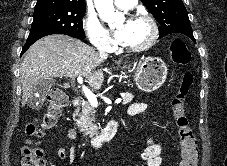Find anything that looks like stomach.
<instances>
[{
    "mask_svg": "<svg viewBox=\"0 0 227 166\" xmlns=\"http://www.w3.org/2000/svg\"><path fill=\"white\" fill-rule=\"evenodd\" d=\"M135 84L144 92H153L165 82L168 69L159 57H147L135 64Z\"/></svg>",
    "mask_w": 227,
    "mask_h": 166,
    "instance_id": "1",
    "label": "stomach"
}]
</instances>
